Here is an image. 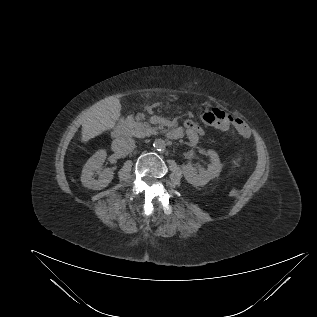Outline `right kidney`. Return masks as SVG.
<instances>
[{"mask_svg": "<svg viewBox=\"0 0 317 317\" xmlns=\"http://www.w3.org/2000/svg\"><path fill=\"white\" fill-rule=\"evenodd\" d=\"M106 156L105 150H99L86 162L81 175L83 186L93 190H101L112 181L113 171L110 168L102 170ZM95 171L99 174L98 179L94 178Z\"/></svg>", "mask_w": 317, "mask_h": 317, "instance_id": "ca27d5eb", "label": "right kidney"}]
</instances>
